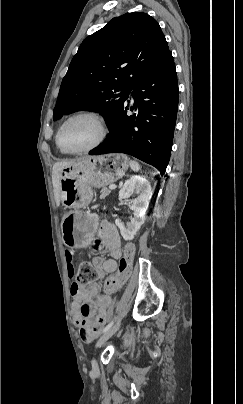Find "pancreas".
<instances>
[{
  "mask_svg": "<svg viewBox=\"0 0 243 404\" xmlns=\"http://www.w3.org/2000/svg\"><path fill=\"white\" fill-rule=\"evenodd\" d=\"M108 194H110V190H108V188H106V186H105V188H102V190H101L100 198H106V196H108Z\"/></svg>",
  "mask_w": 243,
  "mask_h": 404,
  "instance_id": "cf45deb5",
  "label": "pancreas"
}]
</instances>
